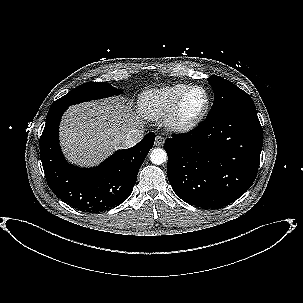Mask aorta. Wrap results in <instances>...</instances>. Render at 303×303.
I'll use <instances>...</instances> for the list:
<instances>
[{
  "instance_id": "obj_1",
  "label": "aorta",
  "mask_w": 303,
  "mask_h": 303,
  "mask_svg": "<svg viewBox=\"0 0 303 303\" xmlns=\"http://www.w3.org/2000/svg\"><path fill=\"white\" fill-rule=\"evenodd\" d=\"M150 160L155 165H161L167 161V153L161 148H155L150 153Z\"/></svg>"
}]
</instances>
